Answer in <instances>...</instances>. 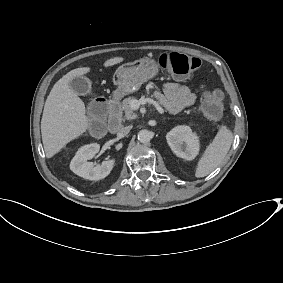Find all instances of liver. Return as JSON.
Returning a JSON list of instances; mask_svg holds the SVG:
<instances>
[{"label": "liver", "mask_w": 283, "mask_h": 283, "mask_svg": "<svg viewBox=\"0 0 283 283\" xmlns=\"http://www.w3.org/2000/svg\"><path fill=\"white\" fill-rule=\"evenodd\" d=\"M124 61V57H112L103 63V67L110 68ZM91 71L90 66L75 68L60 78L51 89L40 127L43 148L48 159L89 128L90 120L86 115L85 105L70 83Z\"/></svg>", "instance_id": "obj_1"}]
</instances>
